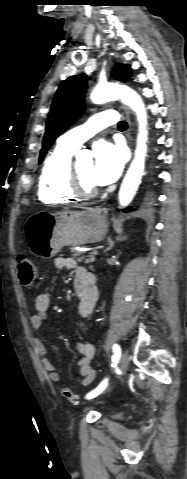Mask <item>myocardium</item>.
Returning a JSON list of instances; mask_svg holds the SVG:
<instances>
[{
    "label": "myocardium",
    "mask_w": 187,
    "mask_h": 479,
    "mask_svg": "<svg viewBox=\"0 0 187 479\" xmlns=\"http://www.w3.org/2000/svg\"><path fill=\"white\" fill-rule=\"evenodd\" d=\"M68 188L80 199H90L99 193L97 186H87L81 178L76 165L71 164L68 172Z\"/></svg>",
    "instance_id": "myocardium-1"
}]
</instances>
